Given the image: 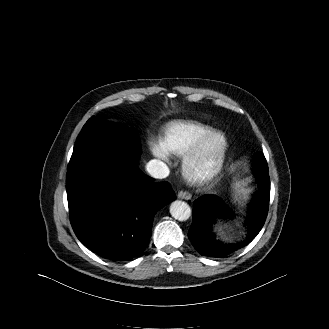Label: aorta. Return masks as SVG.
Here are the masks:
<instances>
[{
  "label": "aorta",
  "instance_id": "762f6f07",
  "mask_svg": "<svg viewBox=\"0 0 329 329\" xmlns=\"http://www.w3.org/2000/svg\"><path fill=\"white\" fill-rule=\"evenodd\" d=\"M170 214L178 221H186L191 216V208L186 202L176 200L170 205Z\"/></svg>",
  "mask_w": 329,
  "mask_h": 329
}]
</instances>
